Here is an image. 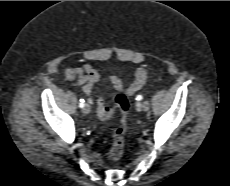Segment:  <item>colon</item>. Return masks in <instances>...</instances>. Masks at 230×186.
Instances as JSON below:
<instances>
[{
  "instance_id": "obj_1",
  "label": "colon",
  "mask_w": 230,
  "mask_h": 186,
  "mask_svg": "<svg viewBox=\"0 0 230 186\" xmlns=\"http://www.w3.org/2000/svg\"><path fill=\"white\" fill-rule=\"evenodd\" d=\"M147 80V69L143 66L138 67L135 71V79L127 90L119 89L113 97L112 104H107L104 100H100L98 104V116L102 120L109 119L114 111V108L121 110L120 125L115 129L111 146L107 152V157L110 161L119 159L124 150L125 135L128 129L127 114L130 110L129 95L139 91ZM111 82L114 85L119 84V79L116 76L111 77Z\"/></svg>"
}]
</instances>
